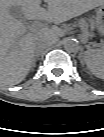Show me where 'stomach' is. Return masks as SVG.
<instances>
[{"label":"stomach","mask_w":104,"mask_h":137,"mask_svg":"<svg viewBox=\"0 0 104 137\" xmlns=\"http://www.w3.org/2000/svg\"><path fill=\"white\" fill-rule=\"evenodd\" d=\"M101 15H102V7H99V8L97 9V16L99 17V16H101ZM83 37L86 38V35L84 34Z\"/></svg>","instance_id":"0dacf381"}]
</instances>
